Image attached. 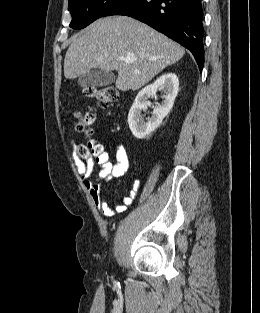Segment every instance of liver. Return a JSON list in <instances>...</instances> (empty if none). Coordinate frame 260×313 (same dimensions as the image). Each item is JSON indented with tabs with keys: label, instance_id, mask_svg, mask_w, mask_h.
<instances>
[{
	"label": "liver",
	"instance_id": "1",
	"mask_svg": "<svg viewBox=\"0 0 260 313\" xmlns=\"http://www.w3.org/2000/svg\"><path fill=\"white\" fill-rule=\"evenodd\" d=\"M185 53L183 47L148 25L127 16L100 18L73 37L64 59V76L92 69L118 72L116 87L138 90ZM134 56L132 63L120 58Z\"/></svg>",
	"mask_w": 260,
	"mask_h": 313
}]
</instances>
